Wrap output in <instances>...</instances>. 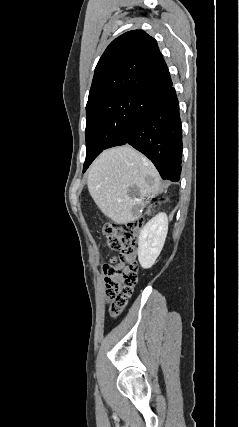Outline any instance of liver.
<instances>
[{
    "label": "liver",
    "instance_id": "1",
    "mask_svg": "<svg viewBox=\"0 0 239 427\" xmlns=\"http://www.w3.org/2000/svg\"><path fill=\"white\" fill-rule=\"evenodd\" d=\"M87 185L101 212L119 224L137 219L144 200L162 190L155 166L129 145L103 151L89 169Z\"/></svg>",
    "mask_w": 239,
    "mask_h": 427
}]
</instances>
